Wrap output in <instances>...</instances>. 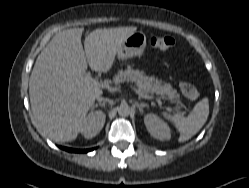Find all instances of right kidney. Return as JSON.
Here are the masks:
<instances>
[{
	"label": "right kidney",
	"instance_id": "1",
	"mask_svg": "<svg viewBox=\"0 0 249 188\" xmlns=\"http://www.w3.org/2000/svg\"><path fill=\"white\" fill-rule=\"evenodd\" d=\"M105 117L102 111H91L88 116L84 118L80 130L81 134L87 139L95 137L103 128Z\"/></svg>",
	"mask_w": 249,
	"mask_h": 188
}]
</instances>
